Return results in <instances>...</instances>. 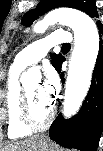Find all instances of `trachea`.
Segmentation results:
<instances>
[{
	"instance_id": "obj_1",
	"label": "trachea",
	"mask_w": 103,
	"mask_h": 151,
	"mask_svg": "<svg viewBox=\"0 0 103 151\" xmlns=\"http://www.w3.org/2000/svg\"><path fill=\"white\" fill-rule=\"evenodd\" d=\"M68 47H70V44H64V45L62 46L63 49L68 48Z\"/></svg>"
}]
</instances>
